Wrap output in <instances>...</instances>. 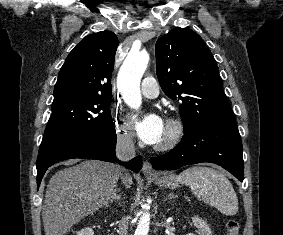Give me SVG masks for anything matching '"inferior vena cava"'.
<instances>
[{
    "mask_svg": "<svg viewBox=\"0 0 283 235\" xmlns=\"http://www.w3.org/2000/svg\"><path fill=\"white\" fill-rule=\"evenodd\" d=\"M134 135L131 132L126 131L123 134L117 136L116 144V156L118 159L123 161H128L135 156V145H134ZM118 171L122 173V168L116 166ZM128 217H123L119 223V235H127L128 232Z\"/></svg>",
    "mask_w": 283,
    "mask_h": 235,
    "instance_id": "602c4592",
    "label": "inferior vena cava"
}]
</instances>
